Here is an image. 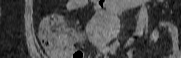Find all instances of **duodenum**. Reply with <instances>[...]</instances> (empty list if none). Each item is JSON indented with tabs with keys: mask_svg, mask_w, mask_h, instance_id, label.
Here are the masks:
<instances>
[{
	"mask_svg": "<svg viewBox=\"0 0 181 58\" xmlns=\"http://www.w3.org/2000/svg\"><path fill=\"white\" fill-rule=\"evenodd\" d=\"M143 1L145 0H120V1L105 0L104 3L109 8H114V10H122L125 8L135 7L141 4Z\"/></svg>",
	"mask_w": 181,
	"mask_h": 58,
	"instance_id": "duodenum-1",
	"label": "duodenum"
}]
</instances>
